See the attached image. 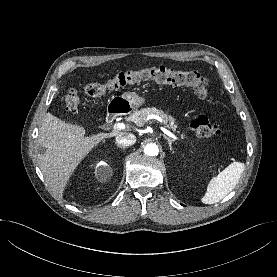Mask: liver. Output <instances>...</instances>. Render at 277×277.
Masks as SVG:
<instances>
[{
	"label": "liver",
	"instance_id": "liver-1",
	"mask_svg": "<svg viewBox=\"0 0 277 277\" xmlns=\"http://www.w3.org/2000/svg\"><path fill=\"white\" fill-rule=\"evenodd\" d=\"M85 134L83 126L65 122L49 112L42 119L38 145L45 151L38 154V163L46 183L58 195H62L76 167L102 140L125 132Z\"/></svg>",
	"mask_w": 277,
	"mask_h": 277
}]
</instances>
